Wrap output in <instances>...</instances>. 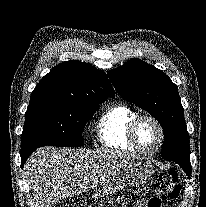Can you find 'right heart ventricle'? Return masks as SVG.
<instances>
[{"label":"right heart ventricle","instance_id":"obj_1","mask_svg":"<svg viewBox=\"0 0 206 207\" xmlns=\"http://www.w3.org/2000/svg\"><path fill=\"white\" fill-rule=\"evenodd\" d=\"M139 113L123 103L110 106L98 119L96 131L101 144L115 151H135L128 139V127Z\"/></svg>","mask_w":206,"mask_h":207}]
</instances>
